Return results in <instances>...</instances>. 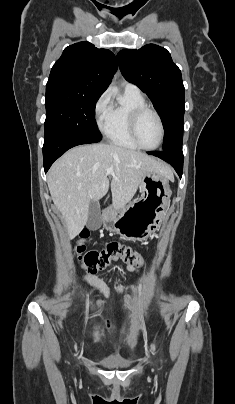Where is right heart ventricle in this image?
Listing matches in <instances>:
<instances>
[{
    "mask_svg": "<svg viewBox=\"0 0 235 404\" xmlns=\"http://www.w3.org/2000/svg\"><path fill=\"white\" fill-rule=\"evenodd\" d=\"M146 105L141 92L124 90L122 100L112 104L104 128L102 129L108 141L119 147L136 150L129 132V120L134 109Z\"/></svg>",
    "mask_w": 235,
    "mask_h": 404,
    "instance_id": "e07e8e85",
    "label": "right heart ventricle"
}]
</instances>
